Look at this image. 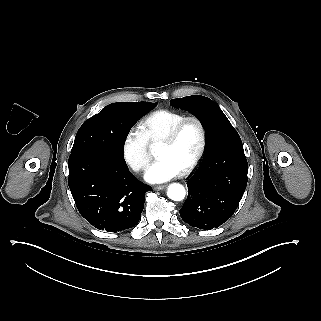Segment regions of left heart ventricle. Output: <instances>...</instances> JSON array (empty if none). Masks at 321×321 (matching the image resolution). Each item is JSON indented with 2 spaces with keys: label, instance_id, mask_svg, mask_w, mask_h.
<instances>
[{
  "label": "left heart ventricle",
  "instance_id": "obj_1",
  "mask_svg": "<svg viewBox=\"0 0 321 321\" xmlns=\"http://www.w3.org/2000/svg\"><path fill=\"white\" fill-rule=\"evenodd\" d=\"M199 145V127L195 122H188L174 142L162 140V156H172L183 171L195 157Z\"/></svg>",
  "mask_w": 321,
  "mask_h": 321
}]
</instances>
